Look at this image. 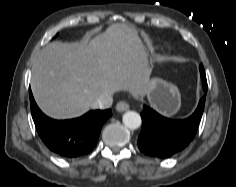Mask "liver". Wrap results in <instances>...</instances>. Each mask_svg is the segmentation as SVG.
I'll use <instances>...</instances> for the list:
<instances>
[{
    "mask_svg": "<svg viewBox=\"0 0 236 187\" xmlns=\"http://www.w3.org/2000/svg\"><path fill=\"white\" fill-rule=\"evenodd\" d=\"M149 69L145 46L134 26L116 23L80 42L48 44L32 66L31 89L48 116H81L103 94L128 91L147 95Z\"/></svg>",
    "mask_w": 236,
    "mask_h": 187,
    "instance_id": "1",
    "label": "liver"
}]
</instances>
